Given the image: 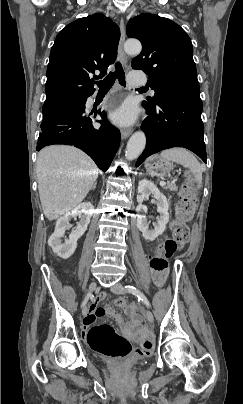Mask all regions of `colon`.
<instances>
[{
	"label": "colon",
	"instance_id": "5ec220e1",
	"mask_svg": "<svg viewBox=\"0 0 243 404\" xmlns=\"http://www.w3.org/2000/svg\"><path fill=\"white\" fill-rule=\"evenodd\" d=\"M188 184L181 195V201L177 206L176 217L171 223L173 237L164 240L157 248L156 254L150 261L152 279L156 286L165 284L168 277V258L173 255L179 247L188 241L187 220L193 213L194 201L188 190ZM115 304L132 313V307L123 299H117ZM87 341L90 347L107 357L122 358L131 352L129 341L118 334L111 324L103 323L91 327L87 332ZM153 348L151 340H145L141 344L140 352L149 355Z\"/></svg>",
	"mask_w": 243,
	"mask_h": 404
}]
</instances>
